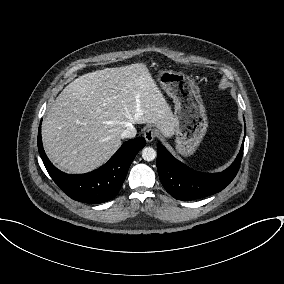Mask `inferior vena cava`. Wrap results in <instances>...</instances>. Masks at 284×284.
<instances>
[{
    "instance_id": "inferior-vena-cava-1",
    "label": "inferior vena cava",
    "mask_w": 284,
    "mask_h": 284,
    "mask_svg": "<svg viewBox=\"0 0 284 284\" xmlns=\"http://www.w3.org/2000/svg\"><path fill=\"white\" fill-rule=\"evenodd\" d=\"M137 130L134 126L127 127L121 134L122 138H133L136 136Z\"/></svg>"
}]
</instances>
